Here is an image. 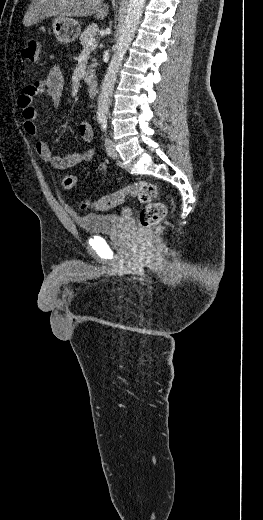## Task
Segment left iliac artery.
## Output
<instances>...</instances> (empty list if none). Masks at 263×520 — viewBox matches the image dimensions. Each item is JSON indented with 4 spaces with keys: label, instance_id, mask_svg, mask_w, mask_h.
Listing matches in <instances>:
<instances>
[{
    "label": "left iliac artery",
    "instance_id": "1",
    "mask_svg": "<svg viewBox=\"0 0 263 520\" xmlns=\"http://www.w3.org/2000/svg\"><path fill=\"white\" fill-rule=\"evenodd\" d=\"M102 129L104 132H106V130H107V121L106 120L102 121Z\"/></svg>",
    "mask_w": 263,
    "mask_h": 520
}]
</instances>
